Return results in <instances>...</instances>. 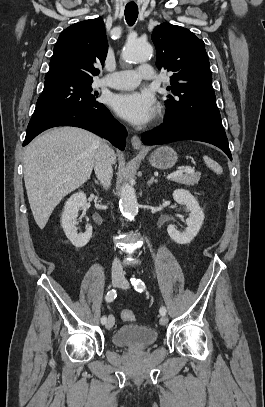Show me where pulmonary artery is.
<instances>
[{
  "label": "pulmonary artery",
  "mask_w": 265,
  "mask_h": 407,
  "mask_svg": "<svg viewBox=\"0 0 265 407\" xmlns=\"http://www.w3.org/2000/svg\"><path fill=\"white\" fill-rule=\"evenodd\" d=\"M154 71L150 65H142L137 70H120L106 75L101 83L114 89H132L142 80H154Z\"/></svg>",
  "instance_id": "obj_1"
}]
</instances>
